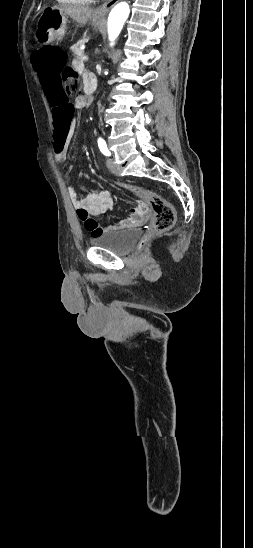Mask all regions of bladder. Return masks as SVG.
<instances>
[{
  "mask_svg": "<svg viewBox=\"0 0 253 548\" xmlns=\"http://www.w3.org/2000/svg\"><path fill=\"white\" fill-rule=\"evenodd\" d=\"M140 236L141 230L139 228L110 231L91 237L90 243L96 247L106 248L116 254H125L132 248Z\"/></svg>",
  "mask_w": 253,
  "mask_h": 548,
  "instance_id": "31cf9c89",
  "label": "bladder"
}]
</instances>
